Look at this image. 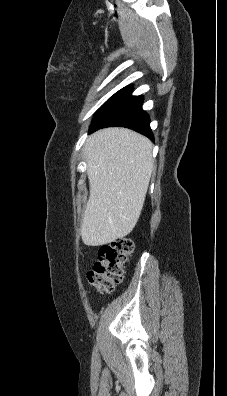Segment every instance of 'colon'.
I'll return each mask as SVG.
<instances>
[{"label": "colon", "mask_w": 227, "mask_h": 396, "mask_svg": "<svg viewBox=\"0 0 227 396\" xmlns=\"http://www.w3.org/2000/svg\"><path fill=\"white\" fill-rule=\"evenodd\" d=\"M134 250L130 238H119L103 245L98 251V260L88 273V280L98 291L111 292L123 281V268Z\"/></svg>", "instance_id": "colon-1"}]
</instances>
